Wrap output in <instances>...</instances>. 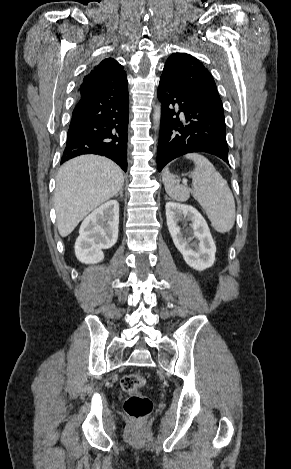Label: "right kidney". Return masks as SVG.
<instances>
[{"mask_svg": "<svg viewBox=\"0 0 291 469\" xmlns=\"http://www.w3.org/2000/svg\"><path fill=\"white\" fill-rule=\"evenodd\" d=\"M119 203L110 200L88 215L81 224L75 242V255L84 264L104 259L103 249L111 248L118 239Z\"/></svg>", "mask_w": 291, "mask_h": 469, "instance_id": "right-kidney-1", "label": "right kidney"}]
</instances>
